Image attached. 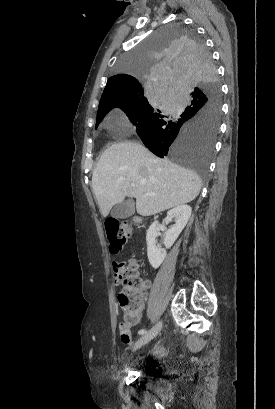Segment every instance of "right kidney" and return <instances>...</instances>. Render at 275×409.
<instances>
[{
	"instance_id": "right-kidney-1",
	"label": "right kidney",
	"mask_w": 275,
	"mask_h": 409,
	"mask_svg": "<svg viewBox=\"0 0 275 409\" xmlns=\"http://www.w3.org/2000/svg\"><path fill=\"white\" fill-rule=\"evenodd\" d=\"M192 209L189 205H180V207H175L168 211L167 217L163 219L164 225H168L172 221L173 217L175 219V225H171L170 229L166 231V237L164 241L165 249H161L155 241L157 235H159L158 221H154L151 227H149L146 233L147 241V257L149 259L150 265L153 269H158L162 265L166 257V249H170L174 245L176 239H178L180 233H182L184 227H186L190 217Z\"/></svg>"
}]
</instances>
